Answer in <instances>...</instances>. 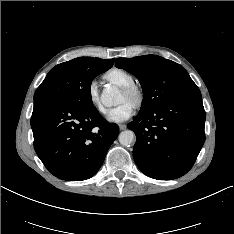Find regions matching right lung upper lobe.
Returning a JSON list of instances; mask_svg holds the SVG:
<instances>
[{
	"instance_id": "1",
	"label": "right lung upper lobe",
	"mask_w": 234,
	"mask_h": 234,
	"mask_svg": "<svg viewBox=\"0 0 234 234\" xmlns=\"http://www.w3.org/2000/svg\"><path fill=\"white\" fill-rule=\"evenodd\" d=\"M79 61L89 68H107L110 69L114 64L115 59L104 60L92 57H80Z\"/></svg>"
}]
</instances>
